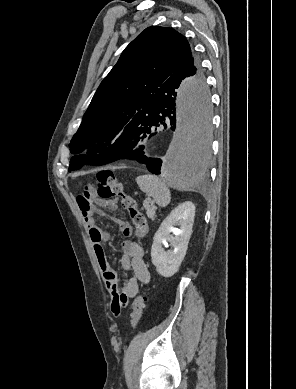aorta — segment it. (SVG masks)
I'll list each match as a JSON object with an SVG mask.
<instances>
[{"mask_svg": "<svg viewBox=\"0 0 296 389\" xmlns=\"http://www.w3.org/2000/svg\"><path fill=\"white\" fill-rule=\"evenodd\" d=\"M175 100L177 130L162 173L179 189H194L212 161V95L208 81H179Z\"/></svg>", "mask_w": 296, "mask_h": 389, "instance_id": "aorta-1", "label": "aorta"}]
</instances>
